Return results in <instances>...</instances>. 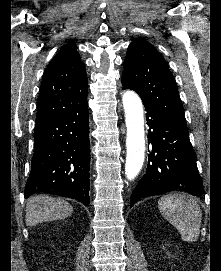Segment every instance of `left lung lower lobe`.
<instances>
[{
  "instance_id": "obj_1",
  "label": "left lung lower lobe",
  "mask_w": 221,
  "mask_h": 271,
  "mask_svg": "<svg viewBox=\"0 0 221 271\" xmlns=\"http://www.w3.org/2000/svg\"><path fill=\"white\" fill-rule=\"evenodd\" d=\"M124 89V88H123ZM148 144L146 173L135 187L130 207L144 197L182 189L200 197L203 183L196 165V155L189 140L187 127L181 126L145 106Z\"/></svg>"
}]
</instances>
